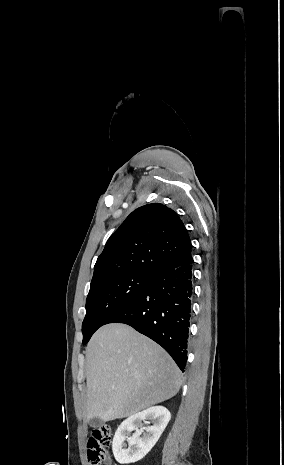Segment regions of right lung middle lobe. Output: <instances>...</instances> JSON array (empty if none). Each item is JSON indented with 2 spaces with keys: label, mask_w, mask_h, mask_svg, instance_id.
I'll return each instance as SVG.
<instances>
[{
  "label": "right lung middle lobe",
  "mask_w": 284,
  "mask_h": 465,
  "mask_svg": "<svg viewBox=\"0 0 284 465\" xmlns=\"http://www.w3.org/2000/svg\"><path fill=\"white\" fill-rule=\"evenodd\" d=\"M153 276L125 274L107 278L90 286L86 299V316L82 324L83 344L93 333L129 302L151 281Z\"/></svg>",
  "instance_id": "right-lung-middle-lobe-1"
}]
</instances>
